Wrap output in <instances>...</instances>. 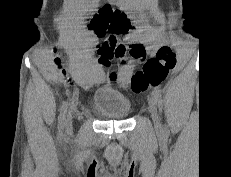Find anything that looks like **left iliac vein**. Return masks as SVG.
<instances>
[{"label": "left iliac vein", "instance_id": "obj_1", "mask_svg": "<svg viewBox=\"0 0 231 177\" xmlns=\"http://www.w3.org/2000/svg\"><path fill=\"white\" fill-rule=\"evenodd\" d=\"M148 105H149V111L152 116L153 124L155 129L160 130L161 125H160V119H159V113L157 109L156 102L153 98H148Z\"/></svg>", "mask_w": 231, "mask_h": 177}]
</instances>
